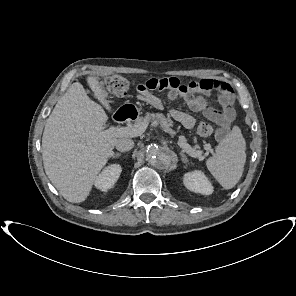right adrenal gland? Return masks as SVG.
Wrapping results in <instances>:
<instances>
[{"label": "right adrenal gland", "mask_w": 296, "mask_h": 296, "mask_svg": "<svg viewBox=\"0 0 296 296\" xmlns=\"http://www.w3.org/2000/svg\"><path fill=\"white\" fill-rule=\"evenodd\" d=\"M121 157V153H113L112 158H119Z\"/></svg>", "instance_id": "1"}]
</instances>
